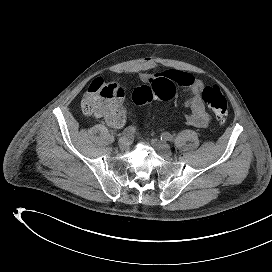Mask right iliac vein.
I'll list each match as a JSON object with an SVG mask.
<instances>
[{
  "label": "right iliac vein",
  "instance_id": "right-iliac-vein-1",
  "mask_svg": "<svg viewBox=\"0 0 272 272\" xmlns=\"http://www.w3.org/2000/svg\"><path fill=\"white\" fill-rule=\"evenodd\" d=\"M118 145L121 149H125L129 146V139L127 137H121L119 139Z\"/></svg>",
  "mask_w": 272,
  "mask_h": 272
}]
</instances>
